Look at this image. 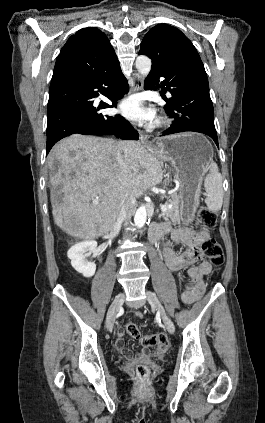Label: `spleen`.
<instances>
[{
	"label": "spleen",
	"instance_id": "spleen-1",
	"mask_svg": "<svg viewBox=\"0 0 265 423\" xmlns=\"http://www.w3.org/2000/svg\"><path fill=\"white\" fill-rule=\"evenodd\" d=\"M209 169L210 173L204 180L206 191L205 203L210 211L218 212L223 204L222 176L215 162L210 164Z\"/></svg>",
	"mask_w": 265,
	"mask_h": 423
}]
</instances>
